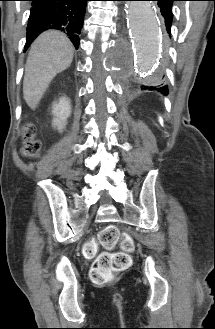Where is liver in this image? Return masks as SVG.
<instances>
[{
    "instance_id": "6515ba94",
    "label": "liver",
    "mask_w": 215,
    "mask_h": 329,
    "mask_svg": "<svg viewBox=\"0 0 215 329\" xmlns=\"http://www.w3.org/2000/svg\"><path fill=\"white\" fill-rule=\"evenodd\" d=\"M74 47L60 31L48 30L40 34L28 54L23 94L27 105L35 110L54 77L72 63Z\"/></svg>"
}]
</instances>
